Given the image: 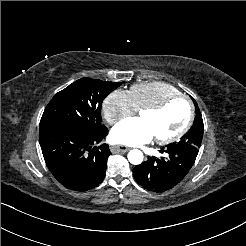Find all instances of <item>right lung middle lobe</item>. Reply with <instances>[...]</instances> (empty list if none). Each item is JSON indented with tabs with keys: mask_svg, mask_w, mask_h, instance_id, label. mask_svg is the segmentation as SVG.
<instances>
[{
	"mask_svg": "<svg viewBox=\"0 0 246 246\" xmlns=\"http://www.w3.org/2000/svg\"><path fill=\"white\" fill-rule=\"evenodd\" d=\"M121 83L82 78L58 92L44 110L40 127L70 124L83 129L101 126L104 98Z\"/></svg>",
	"mask_w": 246,
	"mask_h": 246,
	"instance_id": "obj_1",
	"label": "right lung middle lobe"
}]
</instances>
